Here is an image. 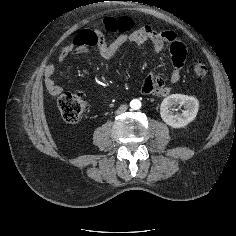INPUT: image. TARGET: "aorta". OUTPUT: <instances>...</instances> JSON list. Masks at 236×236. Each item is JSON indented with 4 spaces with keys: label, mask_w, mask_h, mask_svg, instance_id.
I'll use <instances>...</instances> for the list:
<instances>
[{
    "label": "aorta",
    "mask_w": 236,
    "mask_h": 236,
    "mask_svg": "<svg viewBox=\"0 0 236 236\" xmlns=\"http://www.w3.org/2000/svg\"><path fill=\"white\" fill-rule=\"evenodd\" d=\"M130 107L133 109V110H138L141 108V101L138 100V99H133L131 102H130Z\"/></svg>",
    "instance_id": "obj_1"
}]
</instances>
